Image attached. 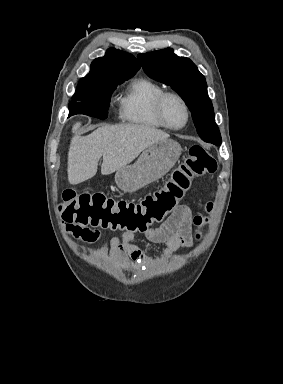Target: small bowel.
<instances>
[{
  "instance_id": "obj_1",
  "label": "small bowel",
  "mask_w": 283,
  "mask_h": 384,
  "mask_svg": "<svg viewBox=\"0 0 283 384\" xmlns=\"http://www.w3.org/2000/svg\"><path fill=\"white\" fill-rule=\"evenodd\" d=\"M74 237L81 239L85 242H95L100 238L99 231L87 227L66 225ZM192 218L189 208L185 205L178 206L171 215L159 227L149 228L145 232V237L152 243L166 244L161 258L170 259L175 257V253L185 247L192 245ZM135 234L132 232H124L122 237H112L106 239L102 245V251L110 252L116 262L126 268L129 260H132L138 265H142L152 261L153 259L148 256L138 246L133 244Z\"/></svg>"
}]
</instances>
